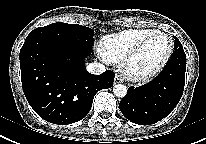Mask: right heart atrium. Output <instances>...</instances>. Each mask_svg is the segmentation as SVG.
I'll use <instances>...</instances> for the list:
<instances>
[{
  "mask_svg": "<svg viewBox=\"0 0 206 144\" xmlns=\"http://www.w3.org/2000/svg\"><path fill=\"white\" fill-rule=\"evenodd\" d=\"M99 51H100V55H101L105 60H107L106 57L103 55L101 49H100Z\"/></svg>",
  "mask_w": 206,
  "mask_h": 144,
  "instance_id": "right-heart-atrium-1",
  "label": "right heart atrium"
}]
</instances>
